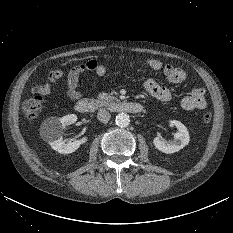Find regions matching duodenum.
I'll list each match as a JSON object with an SVG mask.
<instances>
[{"mask_svg":"<svg viewBox=\"0 0 233 233\" xmlns=\"http://www.w3.org/2000/svg\"><path fill=\"white\" fill-rule=\"evenodd\" d=\"M100 108H108L116 112L140 113L143 106L131 101H107L94 98H83L76 102L75 109L79 113H91Z\"/></svg>","mask_w":233,"mask_h":233,"instance_id":"obj_1","label":"duodenum"}]
</instances>
